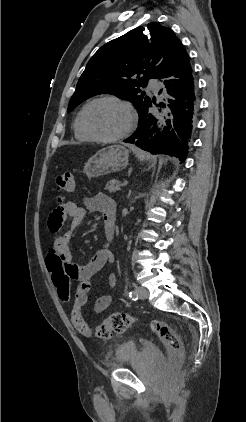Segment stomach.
<instances>
[{
	"mask_svg": "<svg viewBox=\"0 0 246 422\" xmlns=\"http://www.w3.org/2000/svg\"><path fill=\"white\" fill-rule=\"evenodd\" d=\"M128 162L129 150L122 145H111L90 157L84 166V172L89 178L99 177L125 169Z\"/></svg>",
	"mask_w": 246,
	"mask_h": 422,
	"instance_id": "obj_1",
	"label": "stomach"
}]
</instances>
